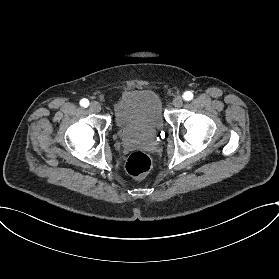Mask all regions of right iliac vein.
<instances>
[{"mask_svg":"<svg viewBox=\"0 0 279 279\" xmlns=\"http://www.w3.org/2000/svg\"><path fill=\"white\" fill-rule=\"evenodd\" d=\"M89 109L93 112H99L101 110V105H100V103L94 101V102L90 103Z\"/></svg>","mask_w":279,"mask_h":279,"instance_id":"63e3f726","label":"right iliac vein"}]
</instances>
